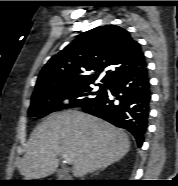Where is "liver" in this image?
Instances as JSON below:
<instances>
[{
  "label": "liver",
  "instance_id": "1",
  "mask_svg": "<svg viewBox=\"0 0 178 186\" xmlns=\"http://www.w3.org/2000/svg\"><path fill=\"white\" fill-rule=\"evenodd\" d=\"M129 149V137L122 129L80 111L65 110L49 115L37 127L18 169L26 180H37L55 173L58 156L67 155L74 176L80 177L119 161Z\"/></svg>",
  "mask_w": 178,
  "mask_h": 186
}]
</instances>
